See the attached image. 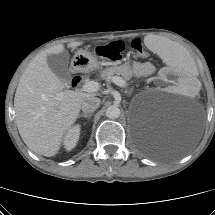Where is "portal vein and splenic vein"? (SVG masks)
Returning a JSON list of instances; mask_svg holds the SVG:
<instances>
[{"label": "portal vein and splenic vein", "instance_id": "18ae733b", "mask_svg": "<svg viewBox=\"0 0 215 215\" xmlns=\"http://www.w3.org/2000/svg\"><path fill=\"white\" fill-rule=\"evenodd\" d=\"M112 81L120 86V87H125L127 85L126 81L122 78V77H118V76H114L112 78ZM99 83L96 81H89L83 84V91L85 92H96L97 90H99ZM61 96V94H58V99Z\"/></svg>", "mask_w": 215, "mask_h": 215}]
</instances>
